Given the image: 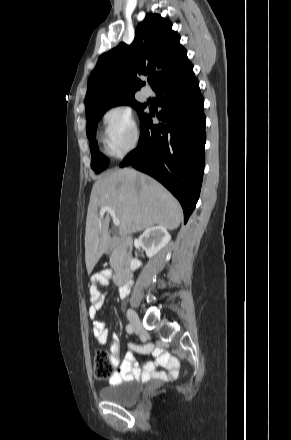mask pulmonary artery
Returning a JSON list of instances; mask_svg holds the SVG:
<instances>
[{"label": "pulmonary artery", "mask_w": 291, "mask_h": 440, "mask_svg": "<svg viewBox=\"0 0 291 440\" xmlns=\"http://www.w3.org/2000/svg\"><path fill=\"white\" fill-rule=\"evenodd\" d=\"M141 92L144 97L149 98L151 96V90L148 87H143Z\"/></svg>", "instance_id": "e3ab8cb5"}]
</instances>
